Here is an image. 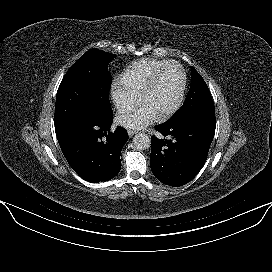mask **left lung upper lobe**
Segmentation results:
<instances>
[{"label":"left lung upper lobe","mask_w":272,"mask_h":272,"mask_svg":"<svg viewBox=\"0 0 272 272\" xmlns=\"http://www.w3.org/2000/svg\"><path fill=\"white\" fill-rule=\"evenodd\" d=\"M191 86L183 106L168 121L178 123L188 117H204L215 115V107L210 91L201 75L191 68Z\"/></svg>","instance_id":"1"}]
</instances>
